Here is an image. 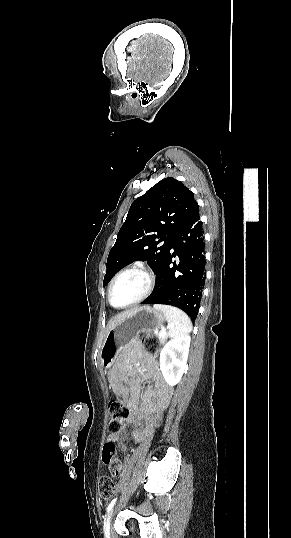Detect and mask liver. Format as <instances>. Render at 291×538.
Returning <instances> with one entry per match:
<instances>
[{"label": "liver", "instance_id": "liver-1", "mask_svg": "<svg viewBox=\"0 0 291 538\" xmlns=\"http://www.w3.org/2000/svg\"><path fill=\"white\" fill-rule=\"evenodd\" d=\"M137 308H134V309H131V310H128V311H125L117 316H115L114 318H112L109 322H108V325H107V329H106V332L108 333L116 324H118L120 321H122L123 319H125L127 316H129L134 310H136Z\"/></svg>", "mask_w": 291, "mask_h": 538}]
</instances>
